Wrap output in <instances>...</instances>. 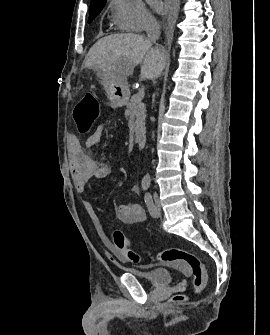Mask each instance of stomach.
Wrapping results in <instances>:
<instances>
[{
    "mask_svg": "<svg viewBox=\"0 0 270 335\" xmlns=\"http://www.w3.org/2000/svg\"><path fill=\"white\" fill-rule=\"evenodd\" d=\"M100 74L109 104L111 106H125L130 96L127 82L115 80L116 72L113 67H100Z\"/></svg>",
    "mask_w": 270,
    "mask_h": 335,
    "instance_id": "1",
    "label": "stomach"
}]
</instances>
